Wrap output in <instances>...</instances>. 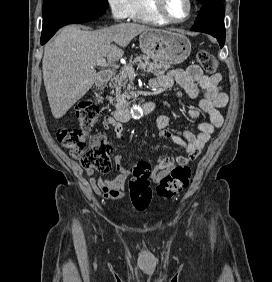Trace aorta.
<instances>
[{"label": "aorta", "instance_id": "aorta-1", "mask_svg": "<svg viewBox=\"0 0 272 282\" xmlns=\"http://www.w3.org/2000/svg\"><path fill=\"white\" fill-rule=\"evenodd\" d=\"M135 111H136V112H138V109H137V108H135Z\"/></svg>", "mask_w": 272, "mask_h": 282}]
</instances>
